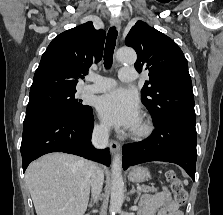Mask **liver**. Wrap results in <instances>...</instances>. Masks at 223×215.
<instances>
[{"mask_svg":"<svg viewBox=\"0 0 223 215\" xmlns=\"http://www.w3.org/2000/svg\"><path fill=\"white\" fill-rule=\"evenodd\" d=\"M90 167V161L69 153H47L32 161L25 181L37 215H83L90 191Z\"/></svg>","mask_w":223,"mask_h":215,"instance_id":"6515ba94","label":"liver"}]
</instances>
